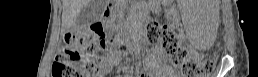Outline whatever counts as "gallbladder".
Masks as SVG:
<instances>
[{"label":"gallbladder","mask_w":258,"mask_h":77,"mask_svg":"<svg viewBox=\"0 0 258 77\" xmlns=\"http://www.w3.org/2000/svg\"><path fill=\"white\" fill-rule=\"evenodd\" d=\"M102 10L103 4L101 0H90L76 18L74 27H83L94 22L99 18Z\"/></svg>","instance_id":"obj_1"}]
</instances>
